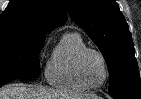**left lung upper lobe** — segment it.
<instances>
[{
	"mask_svg": "<svg viewBox=\"0 0 141 99\" xmlns=\"http://www.w3.org/2000/svg\"><path fill=\"white\" fill-rule=\"evenodd\" d=\"M72 20L99 47L110 72L111 93L141 94L128 24L115 0H65Z\"/></svg>",
	"mask_w": 141,
	"mask_h": 99,
	"instance_id": "left-lung-upper-lobe-1",
	"label": "left lung upper lobe"
}]
</instances>
